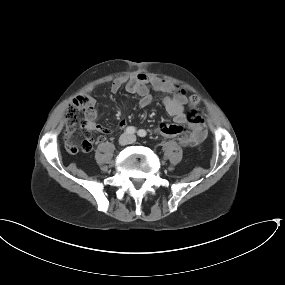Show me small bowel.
Segmentation results:
<instances>
[{
  "label": "small bowel",
  "mask_w": 285,
  "mask_h": 285,
  "mask_svg": "<svg viewBox=\"0 0 285 285\" xmlns=\"http://www.w3.org/2000/svg\"><path fill=\"white\" fill-rule=\"evenodd\" d=\"M125 85L128 93L137 95L139 97V106L147 107L152 103V96L149 91V86L156 89L162 87L163 83L159 77L153 74L140 73L129 77L128 79L122 77L115 79L110 85V91L113 94L119 92L121 87ZM94 86H89L85 89L84 93L91 98L93 97ZM187 98L184 94L175 95L172 98H165L163 105L171 116H173L174 124H161L157 126L154 133L158 136L166 138L179 137V143L183 147H196L200 145L207 136V129L204 123L202 114L188 113L184 111V105ZM97 113L94 109L90 110L87 114L86 129L98 133H106L110 131L108 128L95 121ZM187 126L188 130L184 126ZM126 127V121L121 120L112 130H120ZM75 129V123L70 121L66 125L64 136V144L68 153L78 154L80 152L88 153L92 150L94 140L87 138L82 142L75 143L72 141L71 136Z\"/></svg>",
  "instance_id": "obj_1"
}]
</instances>
